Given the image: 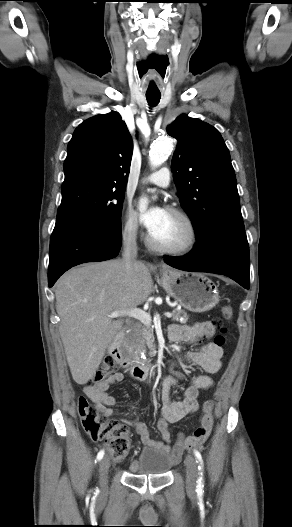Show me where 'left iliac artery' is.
I'll list each match as a JSON object with an SVG mask.
<instances>
[{
  "label": "left iliac artery",
  "mask_w": 292,
  "mask_h": 527,
  "mask_svg": "<svg viewBox=\"0 0 292 527\" xmlns=\"http://www.w3.org/2000/svg\"><path fill=\"white\" fill-rule=\"evenodd\" d=\"M195 458L197 459V462L199 463L198 470L200 477L197 480V491H202L204 487V479H203V459L198 450H194Z\"/></svg>",
  "instance_id": "left-iliac-artery-1"
}]
</instances>
